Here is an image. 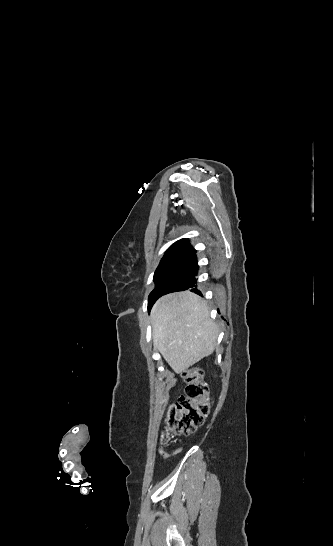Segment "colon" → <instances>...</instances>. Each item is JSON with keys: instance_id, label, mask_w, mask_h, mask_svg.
Wrapping results in <instances>:
<instances>
[{"instance_id": "5ec220e1", "label": "colon", "mask_w": 333, "mask_h": 546, "mask_svg": "<svg viewBox=\"0 0 333 546\" xmlns=\"http://www.w3.org/2000/svg\"><path fill=\"white\" fill-rule=\"evenodd\" d=\"M186 394L174 402L168 412L167 430L161 440L166 443L170 434L189 435L199 428L209 414V389L199 368L186 369L183 374Z\"/></svg>"}]
</instances>
